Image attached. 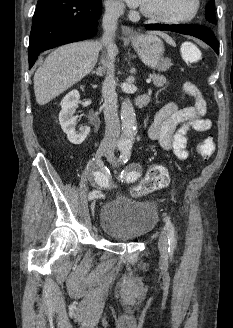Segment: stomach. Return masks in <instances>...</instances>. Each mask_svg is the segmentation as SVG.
I'll use <instances>...</instances> for the list:
<instances>
[{
    "label": "stomach",
    "mask_w": 233,
    "mask_h": 328,
    "mask_svg": "<svg viewBox=\"0 0 233 328\" xmlns=\"http://www.w3.org/2000/svg\"><path fill=\"white\" fill-rule=\"evenodd\" d=\"M131 43L141 60L149 67L166 70L171 65L170 60L164 58V44L156 34L137 35L131 39Z\"/></svg>",
    "instance_id": "obj_1"
}]
</instances>
